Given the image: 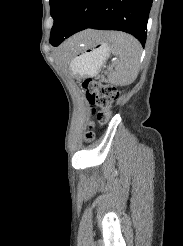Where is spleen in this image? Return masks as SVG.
Masks as SVG:
<instances>
[{
    "instance_id": "spleen-1",
    "label": "spleen",
    "mask_w": 183,
    "mask_h": 246,
    "mask_svg": "<svg viewBox=\"0 0 183 246\" xmlns=\"http://www.w3.org/2000/svg\"><path fill=\"white\" fill-rule=\"evenodd\" d=\"M105 38L111 43L112 54L119 58L114 71L108 76V81L113 84H131L137 78L140 69V42L133 36L118 31L107 32Z\"/></svg>"
}]
</instances>
